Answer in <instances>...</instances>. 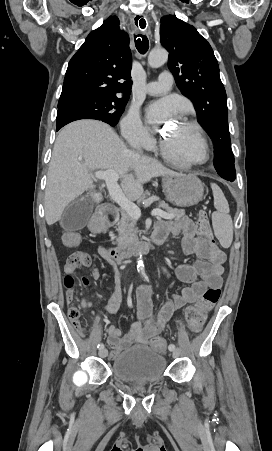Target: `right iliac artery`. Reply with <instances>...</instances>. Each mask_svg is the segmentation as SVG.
<instances>
[{"label": "right iliac artery", "instance_id": "82829eb1", "mask_svg": "<svg viewBox=\"0 0 272 451\" xmlns=\"http://www.w3.org/2000/svg\"><path fill=\"white\" fill-rule=\"evenodd\" d=\"M97 348L103 349L104 348V344L103 343L98 344Z\"/></svg>", "mask_w": 272, "mask_h": 451}]
</instances>
